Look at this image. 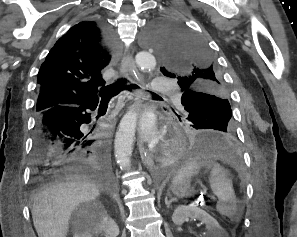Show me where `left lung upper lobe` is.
I'll list each match as a JSON object with an SVG mask.
<instances>
[{"mask_svg": "<svg viewBox=\"0 0 297 237\" xmlns=\"http://www.w3.org/2000/svg\"><path fill=\"white\" fill-rule=\"evenodd\" d=\"M148 38L163 61L160 71L177 80L183 91L187 119L202 124L211 119L218 128L234 133L228 90L204 40L168 21L155 22Z\"/></svg>", "mask_w": 297, "mask_h": 237, "instance_id": "obj_1", "label": "left lung upper lobe"}]
</instances>
